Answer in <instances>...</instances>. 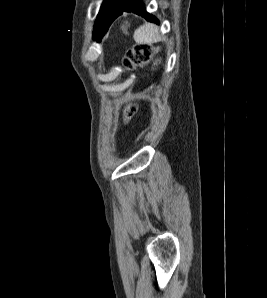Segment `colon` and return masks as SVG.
I'll return each mask as SVG.
<instances>
[{"instance_id": "5ec220e1", "label": "colon", "mask_w": 267, "mask_h": 298, "mask_svg": "<svg viewBox=\"0 0 267 298\" xmlns=\"http://www.w3.org/2000/svg\"><path fill=\"white\" fill-rule=\"evenodd\" d=\"M156 52V48L148 44H136L132 48H130L124 59H123V66L126 70L135 69L145 63H148L151 57ZM134 110V107L125 114L124 120L126 121L131 111Z\"/></svg>"}]
</instances>
